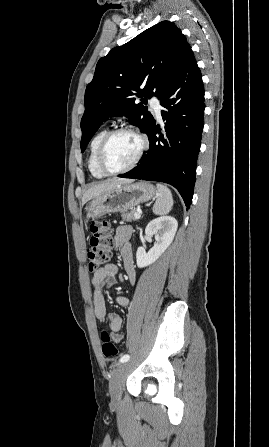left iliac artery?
<instances>
[{
    "instance_id": "1",
    "label": "left iliac artery",
    "mask_w": 269,
    "mask_h": 447,
    "mask_svg": "<svg viewBox=\"0 0 269 447\" xmlns=\"http://www.w3.org/2000/svg\"><path fill=\"white\" fill-rule=\"evenodd\" d=\"M130 359V356L128 354L121 357L120 362L124 363L127 362Z\"/></svg>"
}]
</instances>
